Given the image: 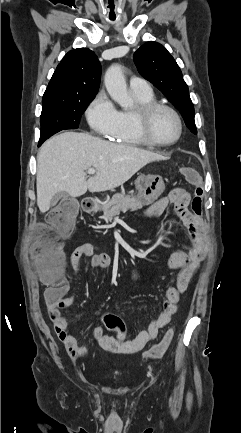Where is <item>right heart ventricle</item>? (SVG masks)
<instances>
[{
	"label": "right heart ventricle",
	"mask_w": 241,
	"mask_h": 433,
	"mask_svg": "<svg viewBox=\"0 0 241 433\" xmlns=\"http://www.w3.org/2000/svg\"><path fill=\"white\" fill-rule=\"evenodd\" d=\"M137 106L155 101L153 93L141 94L133 92ZM135 109H122L119 111V120L111 140L117 143L131 146L148 145L141 137L135 120Z\"/></svg>",
	"instance_id": "e07e8e85"
}]
</instances>
